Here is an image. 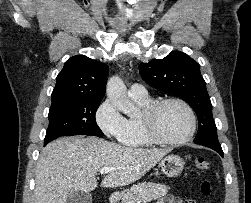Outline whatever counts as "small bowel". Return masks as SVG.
Wrapping results in <instances>:
<instances>
[{"label": "small bowel", "instance_id": "obj_1", "mask_svg": "<svg viewBox=\"0 0 251 203\" xmlns=\"http://www.w3.org/2000/svg\"><path fill=\"white\" fill-rule=\"evenodd\" d=\"M157 203H196V202H194L192 200L182 201L181 199H179L176 196L166 195V196L162 197L161 199H159V201Z\"/></svg>", "mask_w": 251, "mask_h": 203}]
</instances>
